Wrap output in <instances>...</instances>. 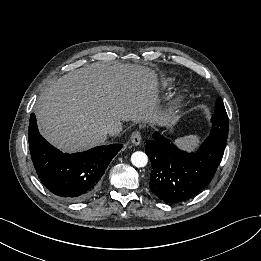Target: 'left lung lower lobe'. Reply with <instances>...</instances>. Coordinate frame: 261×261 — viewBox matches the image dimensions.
Instances as JSON below:
<instances>
[{"mask_svg": "<svg viewBox=\"0 0 261 261\" xmlns=\"http://www.w3.org/2000/svg\"><path fill=\"white\" fill-rule=\"evenodd\" d=\"M212 131L195 153L178 149L173 143L153 134L145 150L152 171L149 187L165 203L189 200L203 190L212 180L219 166L228 136V125L219 116L212 117Z\"/></svg>", "mask_w": 261, "mask_h": 261, "instance_id": "0a47b994", "label": "left lung lower lobe"}]
</instances>
